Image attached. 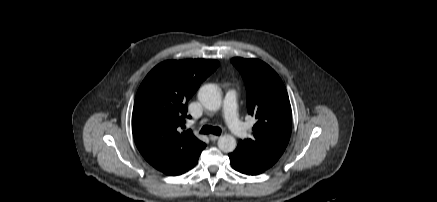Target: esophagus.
Returning a JSON list of instances; mask_svg holds the SVG:
<instances>
[{
	"mask_svg": "<svg viewBox=\"0 0 437 202\" xmlns=\"http://www.w3.org/2000/svg\"><path fill=\"white\" fill-rule=\"evenodd\" d=\"M209 138H210L211 141H216V140L219 139V136H218V135H213V134H212V135L209 136Z\"/></svg>",
	"mask_w": 437,
	"mask_h": 202,
	"instance_id": "esophagus-1",
	"label": "esophagus"
}]
</instances>
